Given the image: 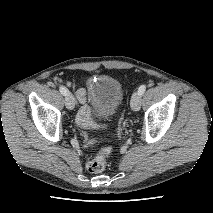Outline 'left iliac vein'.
Here are the masks:
<instances>
[{"label":"left iliac vein","instance_id":"1","mask_svg":"<svg viewBox=\"0 0 213 213\" xmlns=\"http://www.w3.org/2000/svg\"><path fill=\"white\" fill-rule=\"evenodd\" d=\"M130 104L133 111H139L141 107V95L139 92L133 93Z\"/></svg>","mask_w":213,"mask_h":213}]
</instances>
